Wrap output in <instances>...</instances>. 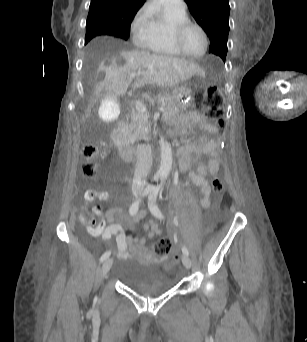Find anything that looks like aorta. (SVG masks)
Instances as JSON below:
<instances>
[{
	"mask_svg": "<svg viewBox=\"0 0 307 342\" xmlns=\"http://www.w3.org/2000/svg\"><path fill=\"white\" fill-rule=\"evenodd\" d=\"M159 146L161 150V162L159 170L156 172V176H159V178H167L171 172L173 164L172 148L164 138H161Z\"/></svg>",
	"mask_w": 307,
	"mask_h": 342,
	"instance_id": "obj_1",
	"label": "aorta"
}]
</instances>
